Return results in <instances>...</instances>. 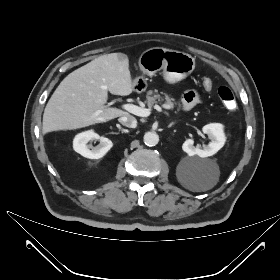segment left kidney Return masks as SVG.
Instances as JSON below:
<instances>
[{"instance_id": "5707ae66", "label": "left kidney", "mask_w": 280, "mask_h": 280, "mask_svg": "<svg viewBox=\"0 0 280 280\" xmlns=\"http://www.w3.org/2000/svg\"><path fill=\"white\" fill-rule=\"evenodd\" d=\"M203 133L207 134L211 142L203 147H195L193 139H187L182 149L189 156L197 155L201 158L209 157L216 154L225 144L226 137L223 131V125L219 123H210L202 128Z\"/></svg>"}]
</instances>
